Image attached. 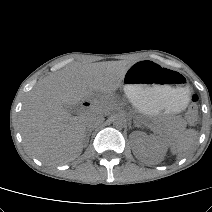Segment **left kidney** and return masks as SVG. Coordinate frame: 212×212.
<instances>
[{
  "mask_svg": "<svg viewBox=\"0 0 212 212\" xmlns=\"http://www.w3.org/2000/svg\"><path fill=\"white\" fill-rule=\"evenodd\" d=\"M138 144L135 155L139 159H162L167 151L166 142L156 135H147L143 132H135Z\"/></svg>",
  "mask_w": 212,
  "mask_h": 212,
  "instance_id": "5707ae66",
  "label": "left kidney"
}]
</instances>
